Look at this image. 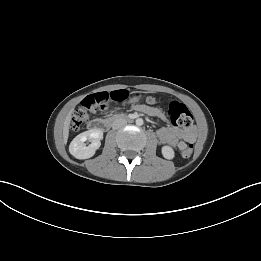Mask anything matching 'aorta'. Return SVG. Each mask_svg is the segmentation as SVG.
I'll use <instances>...</instances> for the list:
<instances>
[{
	"label": "aorta",
	"mask_w": 261,
	"mask_h": 261,
	"mask_svg": "<svg viewBox=\"0 0 261 261\" xmlns=\"http://www.w3.org/2000/svg\"><path fill=\"white\" fill-rule=\"evenodd\" d=\"M136 125H138V126L143 125V119L142 118L136 119Z\"/></svg>",
	"instance_id": "aorta-1"
}]
</instances>
